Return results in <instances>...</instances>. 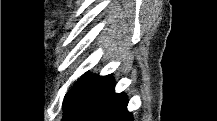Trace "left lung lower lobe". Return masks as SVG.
I'll return each mask as SVG.
<instances>
[{
  "mask_svg": "<svg viewBox=\"0 0 217 121\" xmlns=\"http://www.w3.org/2000/svg\"><path fill=\"white\" fill-rule=\"evenodd\" d=\"M111 75L98 76L91 85L86 103L74 121H133L127 111L125 94H115Z\"/></svg>",
  "mask_w": 217,
  "mask_h": 121,
  "instance_id": "0a47b994",
  "label": "left lung lower lobe"
}]
</instances>
